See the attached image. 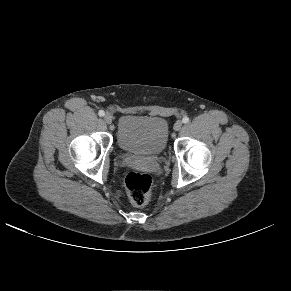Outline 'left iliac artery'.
Returning <instances> with one entry per match:
<instances>
[{
  "mask_svg": "<svg viewBox=\"0 0 291 291\" xmlns=\"http://www.w3.org/2000/svg\"><path fill=\"white\" fill-rule=\"evenodd\" d=\"M182 122L183 123H188L189 122V118L187 116H185L183 119H182Z\"/></svg>",
  "mask_w": 291,
  "mask_h": 291,
  "instance_id": "1",
  "label": "left iliac artery"
}]
</instances>
